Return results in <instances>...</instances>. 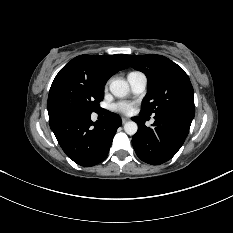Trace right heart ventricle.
Listing matches in <instances>:
<instances>
[{
    "label": "right heart ventricle",
    "mask_w": 233,
    "mask_h": 233,
    "mask_svg": "<svg viewBox=\"0 0 233 233\" xmlns=\"http://www.w3.org/2000/svg\"><path fill=\"white\" fill-rule=\"evenodd\" d=\"M137 73H139V72H136V71L130 72V73L128 74V77L131 76V75H133V74H137Z\"/></svg>",
    "instance_id": "e07e8e85"
}]
</instances>
